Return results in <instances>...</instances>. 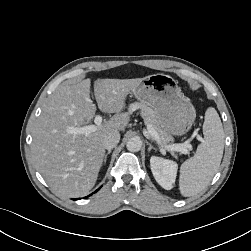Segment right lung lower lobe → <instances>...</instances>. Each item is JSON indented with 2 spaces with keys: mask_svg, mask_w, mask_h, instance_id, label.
<instances>
[{
  "mask_svg": "<svg viewBox=\"0 0 251 251\" xmlns=\"http://www.w3.org/2000/svg\"><path fill=\"white\" fill-rule=\"evenodd\" d=\"M99 189H100V188H99ZM99 189H98V190H99ZM98 190H96L95 192H97ZM95 192H93V193H95ZM93 193H92V194H93ZM92 194H91V195H92Z\"/></svg>",
  "mask_w": 251,
  "mask_h": 251,
  "instance_id": "1",
  "label": "right lung lower lobe"
}]
</instances>
